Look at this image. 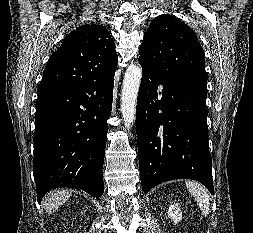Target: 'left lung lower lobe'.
Wrapping results in <instances>:
<instances>
[{
  "mask_svg": "<svg viewBox=\"0 0 253 233\" xmlns=\"http://www.w3.org/2000/svg\"><path fill=\"white\" fill-rule=\"evenodd\" d=\"M139 63L143 75L136 121L143 191L147 193L165 181L186 178L201 182L214 194L206 83L188 80L173 84L159 77L140 57Z\"/></svg>",
  "mask_w": 253,
  "mask_h": 233,
  "instance_id": "1",
  "label": "left lung lower lobe"
}]
</instances>
